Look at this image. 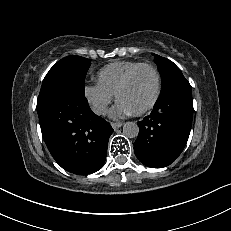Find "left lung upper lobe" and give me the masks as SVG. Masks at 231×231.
I'll return each mask as SVG.
<instances>
[{"instance_id": "5c2ea615", "label": "left lung upper lobe", "mask_w": 231, "mask_h": 231, "mask_svg": "<svg viewBox=\"0 0 231 231\" xmlns=\"http://www.w3.org/2000/svg\"><path fill=\"white\" fill-rule=\"evenodd\" d=\"M152 55L155 57V63L162 77V89L175 80L185 78L181 70L172 61L154 53Z\"/></svg>"}]
</instances>
